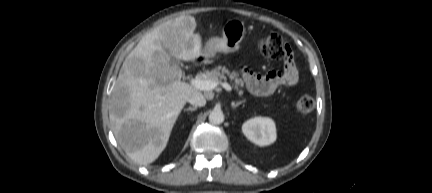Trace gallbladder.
I'll use <instances>...</instances> for the list:
<instances>
[{"label": "gallbladder", "mask_w": 432, "mask_h": 193, "mask_svg": "<svg viewBox=\"0 0 432 193\" xmlns=\"http://www.w3.org/2000/svg\"><path fill=\"white\" fill-rule=\"evenodd\" d=\"M170 63L172 64V65H179L180 64V61H179V59H177V58H175V57H170Z\"/></svg>", "instance_id": "bac80fb5"}]
</instances>
